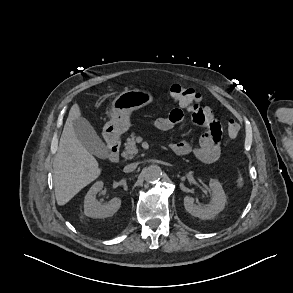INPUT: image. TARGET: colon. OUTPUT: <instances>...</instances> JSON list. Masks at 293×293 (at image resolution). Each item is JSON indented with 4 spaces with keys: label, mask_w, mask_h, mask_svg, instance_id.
I'll list each match as a JSON object with an SVG mask.
<instances>
[{
    "label": "colon",
    "mask_w": 293,
    "mask_h": 293,
    "mask_svg": "<svg viewBox=\"0 0 293 293\" xmlns=\"http://www.w3.org/2000/svg\"><path fill=\"white\" fill-rule=\"evenodd\" d=\"M168 93L181 108L187 111H193L199 103L200 95L189 87L173 84L168 88ZM227 131L230 137H236L241 131L240 124L235 120H230L227 124Z\"/></svg>",
    "instance_id": "1"
}]
</instances>
